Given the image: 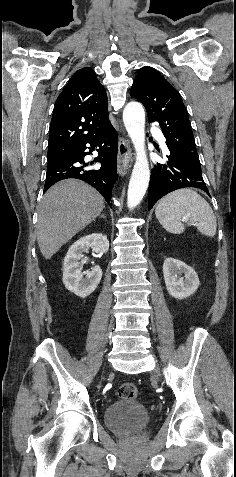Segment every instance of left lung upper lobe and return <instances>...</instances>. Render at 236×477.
I'll list each match as a JSON object with an SVG mask.
<instances>
[{
    "label": "left lung upper lobe",
    "mask_w": 236,
    "mask_h": 477,
    "mask_svg": "<svg viewBox=\"0 0 236 477\" xmlns=\"http://www.w3.org/2000/svg\"><path fill=\"white\" fill-rule=\"evenodd\" d=\"M130 95L142 102L149 123L156 121L160 124L169 150L199 161L182 98L157 70L149 66L142 67L133 82Z\"/></svg>",
    "instance_id": "1"
}]
</instances>
